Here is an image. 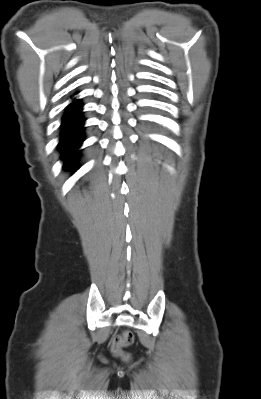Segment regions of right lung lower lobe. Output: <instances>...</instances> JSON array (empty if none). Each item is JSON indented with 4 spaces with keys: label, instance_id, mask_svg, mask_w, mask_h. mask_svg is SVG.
Returning a JSON list of instances; mask_svg holds the SVG:
<instances>
[{
    "label": "right lung lower lobe",
    "instance_id": "right-lung-lower-lobe-1",
    "mask_svg": "<svg viewBox=\"0 0 261 399\" xmlns=\"http://www.w3.org/2000/svg\"><path fill=\"white\" fill-rule=\"evenodd\" d=\"M82 106L80 101H73L67 107L62 119L61 138L58 146L62 152V158H66L65 167L73 168L75 166L73 153L84 141L83 123L85 119L81 113Z\"/></svg>",
    "mask_w": 261,
    "mask_h": 399
}]
</instances>
